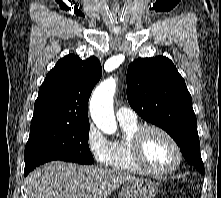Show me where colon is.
<instances>
[{
  "label": "colon",
  "instance_id": "obj_1",
  "mask_svg": "<svg viewBox=\"0 0 221 198\" xmlns=\"http://www.w3.org/2000/svg\"><path fill=\"white\" fill-rule=\"evenodd\" d=\"M177 198H188V197L185 194V192H182V193L179 194V196Z\"/></svg>",
  "mask_w": 221,
  "mask_h": 198
}]
</instances>
